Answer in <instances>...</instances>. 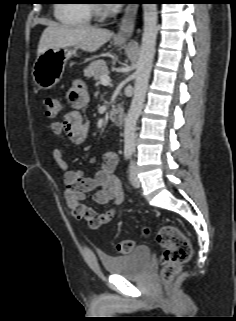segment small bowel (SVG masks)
Listing matches in <instances>:
<instances>
[{
	"mask_svg": "<svg viewBox=\"0 0 236 321\" xmlns=\"http://www.w3.org/2000/svg\"><path fill=\"white\" fill-rule=\"evenodd\" d=\"M67 101L71 106L61 120L51 123V131L56 136H67L74 144L83 143L90 130V125L83 121L81 110L89 102L88 91L79 83L67 93ZM65 152L56 149L53 156L63 171L64 201L77 220L87 222L92 228L109 223L116 212L115 207L124 200V192L115 172L118 167V155L114 151L105 153L102 168L93 177H84L81 170L68 168L63 159ZM91 196L97 204L113 206L99 213L83 204V200Z\"/></svg>",
	"mask_w": 236,
	"mask_h": 321,
	"instance_id": "small-bowel-1",
	"label": "small bowel"
}]
</instances>
